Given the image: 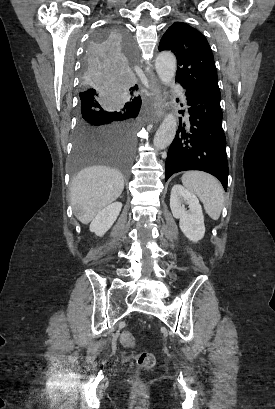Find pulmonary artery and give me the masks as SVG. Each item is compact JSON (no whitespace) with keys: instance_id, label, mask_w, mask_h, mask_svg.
<instances>
[{"instance_id":"e3ab8cb5","label":"pulmonary artery","mask_w":275,"mask_h":409,"mask_svg":"<svg viewBox=\"0 0 275 409\" xmlns=\"http://www.w3.org/2000/svg\"><path fill=\"white\" fill-rule=\"evenodd\" d=\"M182 101L186 104V98L182 96Z\"/></svg>"}]
</instances>
